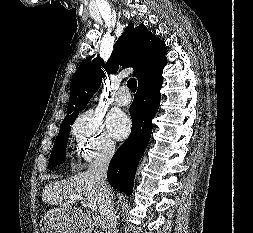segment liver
I'll return each instance as SVG.
<instances>
[{
    "label": "liver",
    "instance_id": "1",
    "mask_svg": "<svg viewBox=\"0 0 253 233\" xmlns=\"http://www.w3.org/2000/svg\"><path fill=\"white\" fill-rule=\"evenodd\" d=\"M83 195L90 203L99 207V185L88 171L75 174L68 179L50 182L42 193V201L51 205L68 206L66 196Z\"/></svg>",
    "mask_w": 253,
    "mask_h": 233
}]
</instances>
